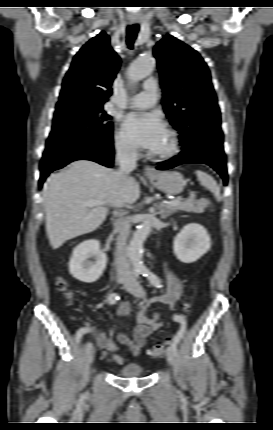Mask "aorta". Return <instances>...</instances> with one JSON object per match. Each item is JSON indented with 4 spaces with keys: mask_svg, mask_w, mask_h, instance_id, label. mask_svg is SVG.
Here are the masks:
<instances>
[{
    "mask_svg": "<svg viewBox=\"0 0 273 430\" xmlns=\"http://www.w3.org/2000/svg\"><path fill=\"white\" fill-rule=\"evenodd\" d=\"M154 70V61L150 56L136 59L129 68V78L133 82L148 77ZM152 229L150 220H145L133 233V237L127 247V255L135 272L145 271L143 264V244Z\"/></svg>",
    "mask_w": 273,
    "mask_h": 430,
    "instance_id": "762f6f07",
    "label": "aorta"
}]
</instances>
